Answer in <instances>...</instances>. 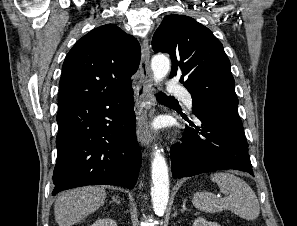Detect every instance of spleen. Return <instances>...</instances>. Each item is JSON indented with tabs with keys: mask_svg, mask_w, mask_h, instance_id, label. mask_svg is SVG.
<instances>
[{
	"mask_svg": "<svg viewBox=\"0 0 297 226\" xmlns=\"http://www.w3.org/2000/svg\"><path fill=\"white\" fill-rule=\"evenodd\" d=\"M210 179L226 197L218 198L209 192L196 193L193 195L192 203L198 210L206 213L230 210L246 220H255L259 216L257 196L243 179L228 172L211 174Z\"/></svg>",
	"mask_w": 297,
	"mask_h": 226,
	"instance_id": "3e777b00",
	"label": "spleen"
}]
</instances>
